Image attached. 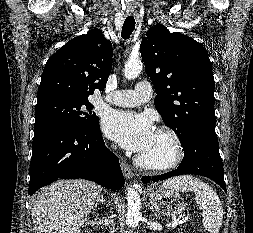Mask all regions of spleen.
<instances>
[{"mask_svg": "<svg viewBox=\"0 0 253 233\" xmlns=\"http://www.w3.org/2000/svg\"><path fill=\"white\" fill-rule=\"evenodd\" d=\"M164 187L180 192L195 193V201L203 212V226L210 233H218L223 220V206L217 193L208 184L190 175L164 182Z\"/></svg>", "mask_w": 253, "mask_h": 233, "instance_id": "obj_1", "label": "spleen"}]
</instances>
